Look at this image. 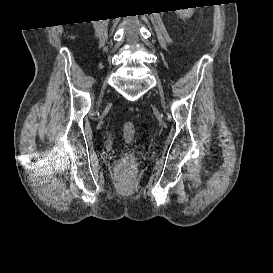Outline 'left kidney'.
<instances>
[{
    "label": "left kidney",
    "mask_w": 273,
    "mask_h": 273,
    "mask_svg": "<svg viewBox=\"0 0 273 273\" xmlns=\"http://www.w3.org/2000/svg\"><path fill=\"white\" fill-rule=\"evenodd\" d=\"M175 13L182 19L190 18L194 13V9L188 8V9L175 10Z\"/></svg>",
    "instance_id": "1"
}]
</instances>
